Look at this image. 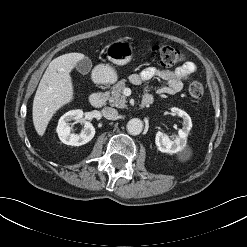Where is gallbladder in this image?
Here are the masks:
<instances>
[{
    "instance_id": "obj_1",
    "label": "gallbladder",
    "mask_w": 247,
    "mask_h": 247,
    "mask_svg": "<svg viewBox=\"0 0 247 247\" xmlns=\"http://www.w3.org/2000/svg\"><path fill=\"white\" fill-rule=\"evenodd\" d=\"M91 68H92V61L87 57L83 58L76 64V70L83 75L90 72Z\"/></svg>"
}]
</instances>
